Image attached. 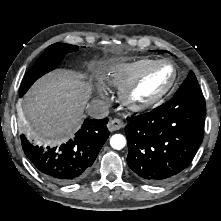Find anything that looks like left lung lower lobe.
Instances as JSON below:
<instances>
[{
  "mask_svg": "<svg viewBox=\"0 0 221 221\" xmlns=\"http://www.w3.org/2000/svg\"><path fill=\"white\" fill-rule=\"evenodd\" d=\"M205 115V108L174 107L169 101L128 118L127 163L134 174L159 184L188 167L203 140Z\"/></svg>",
  "mask_w": 221,
  "mask_h": 221,
  "instance_id": "1",
  "label": "left lung lower lobe"
}]
</instances>
